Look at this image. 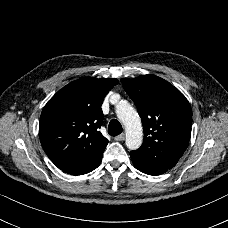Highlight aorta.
<instances>
[{
    "mask_svg": "<svg viewBox=\"0 0 228 228\" xmlns=\"http://www.w3.org/2000/svg\"><path fill=\"white\" fill-rule=\"evenodd\" d=\"M116 115L125 127L127 148L130 150L140 148L143 140V129L137 111L128 101L123 100L116 105Z\"/></svg>",
    "mask_w": 228,
    "mask_h": 228,
    "instance_id": "762f6f07",
    "label": "aorta"
}]
</instances>
